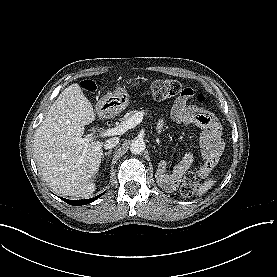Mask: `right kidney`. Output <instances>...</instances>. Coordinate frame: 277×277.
I'll return each instance as SVG.
<instances>
[{
	"mask_svg": "<svg viewBox=\"0 0 277 277\" xmlns=\"http://www.w3.org/2000/svg\"><path fill=\"white\" fill-rule=\"evenodd\" d=\"M94 187H95V185L93 183H91L90 189H92V191H94Z\"/></svg>",
	"mask_w": 277,
	"mask_h": 277,
	"instance_id": "1",
	"label": "right kidney"
}]
</instances>
